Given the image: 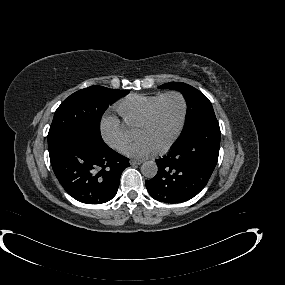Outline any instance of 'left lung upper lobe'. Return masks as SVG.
<instances>
[{"instance_id": "left-lung-upper-lobe-1", "label": "left lung upper lobe", "mask_w": 285, "mask_h": 285, "mask_svg": "<svg viewBox=\"0 0 285 285\" xmlns=\"http://www.w3.org/2000/svg\"><path fill=\"white\" fill-rule=\"evenodd\" d=\"M161 89L180 91L187 102L186 123L181 137L195 127L208 121L216 120V116L209 99L199 90L182 82H170L161 85Z\"/></svg>"}]
</instances>
